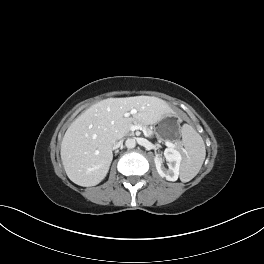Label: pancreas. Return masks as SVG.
Instances as JSON below:
<instances>
[{"label": "pancreas", "instance_id": "cf45deb5", "mask_svg": "<svg viewBox=\"0 0 264 264\" xmlns=\"http://www.w3.org/2000/svg\"><path fill=\"white\" fill-rule=\"evenodd\" d=\"M139 125H140L141 127H143V128L146 129V131H147V133H148L149 136L153 135V131H152L151 129L147 128V127H146L144 124H142V123H139ZM180 147H181V145H180L179 143H176V148H180Z\"/></svg>", "mask_w": 264, "mask_h": 264}]
</instances>
